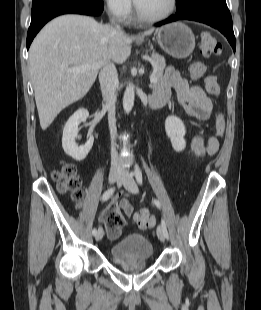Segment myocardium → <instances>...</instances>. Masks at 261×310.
I'll return each instance as SVG.
<instances>
[{
    "instance_id": "f54148a6",
    "label": "myocardium",
    "mask_w": 261,
    "mask_h": 310,
    "mask_svg": "<svg viewBox=\"0 0 261 310\" xmlns=\"http://www.w3.org/2000/svg\"><path fill=\"white\" fill-rule=\"evenodd\" d=\"M176 8H177V0H170L169 7L165 12L157 16H146L139 10L137 5H135V14L136 18L141 22L157 23L170 17L175 12Z\"/></svg>"
}]
</instances>
